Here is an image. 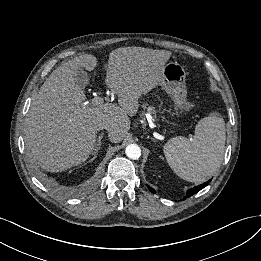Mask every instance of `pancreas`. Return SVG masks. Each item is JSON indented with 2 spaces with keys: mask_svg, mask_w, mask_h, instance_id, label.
<instances>
[{
  "mask_svg": "<svg viewBox=\"0 0 261 261\" xmlns=\"http://www.w3.org/2000/svg\"><path fill=\"white\" fill-rule=\"evenodd\" d=\"M141 106L143 109H146L149 114H152L155 116L156 111H155L154 107L148 105L147 103H143Z\"/></svg>",
  "mask_w": 261,
  "mask_h": 261,
  "instance_id": "1",
  "label": "pancreas"
}]
</instances>
